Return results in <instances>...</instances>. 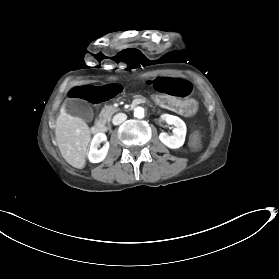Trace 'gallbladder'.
Returning <instances> with one entry per match:
<instances>
[{
	"mask_svg": "<svg viewBox=\"0 0 279 279\" xmlns=\"http://www.w3.org/2000/svg\"><path fill=\"white\" fill-rule=\"evenodd\" d=\"M66 109L68 113L73 116H79L80 119L87 121L93 118V111L89 108L87 103L77 102L75 100L66 102Z\"/></svg>",
	"mask_w": 279,
	"mask_h": 279,
	"instance_id": "obj_1",
	"label": "gallbladder"
}]
</instances>
